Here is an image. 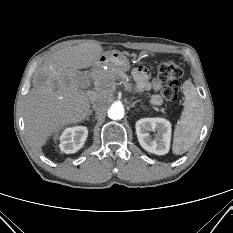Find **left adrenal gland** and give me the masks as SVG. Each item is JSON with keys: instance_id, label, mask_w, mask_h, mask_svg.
Here are the masks:
<instances>
[{"instance_id": "obj_1", "label": "left adrenal gland", "mask_w": 233, "mask_h": 233, "mask_svg": "<svg viewBox=\"0 0 233 233\" xmlns=\"http://www.w3.org/2000/svg\"><path fill=\"white\" fill-rule=\"evenodd\" d=\"M138 102H140V100H136L135 102H133V103L130 105V107H131V108L135 107V104L138 103Z\"/></svg>"}]
</instances>
